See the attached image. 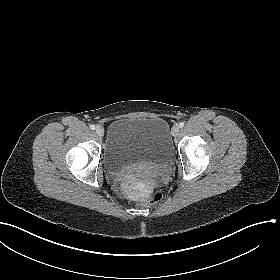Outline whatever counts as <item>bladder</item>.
<instances>
[{
    "label": "bladder",
    "instance_id": "31cf9c89",
    "mask_svg": "<svg viewBox=\"0 0 280 280\" xmlns=\"http://www.w3.org/2000/svg\"><path fill=\"white\" fill-rule=\"evenodd\" d=\"M172 155L170 130L163 118L124 117L108 128L103 163L110 172L138 163H166Z\"/></svg>",
    "mask_w": 280,
    "mask_h": 280
}]
</instances>
